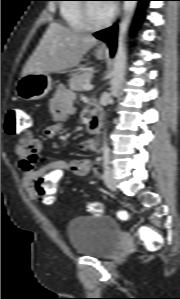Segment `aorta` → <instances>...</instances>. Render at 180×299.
Instances as JSON below:
<instances>
[{"label":"aorta","mask_w":180,"mask_h":299,"mask_svg":"<svg viewBox=\"0 0 180 299\" xmlns=\"http://www.w3.org/2000/svg\"><path fill=\"white\" fill-rule=\"evenodd\" d=\"M136 1H124L123 3V15L119 25L118 33V45L117 50L114 56L113 62V71H112V80H111V96H115L121 86V83L125 74L126 66V47H125V38L127 29L136 6ZM112 98L109 99V102H112ZM104 146L106 142L104 141Z\"/></svg>","instance_id":"aorta-1"}]
</instances>
